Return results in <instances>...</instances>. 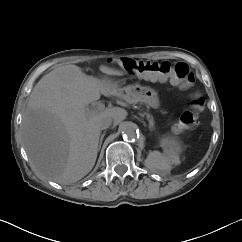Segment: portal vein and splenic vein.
<instances>
[{
	"label": "portal vein and splenic vein",
	"mask_w": 242,
	"mask_h": 242,
	"mask_svg": "<svg viewBox=\"0 0 242 242\" xmlns=\"http://www.w3.org/2000/svg\"><path fill=\"white\" fill-rule=\"evenodd\" d=\"M104 109H105V105L103 103H100L97 105V107L95 109L87 110V115H91L96 112L104 111Z\"/></svg>",
	"instance_id": "1"
}]
</instances>
